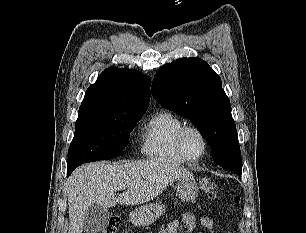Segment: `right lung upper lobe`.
Returning <instances> with one entry per match:
<instances>
[{"instance_id":"cb5924a9","label":"right lung upper lobe","mask_w":306,"mask_h":233,"mask_svg":"<svg viewBox=\"0 0 306 233\" xmlns=\"http://www.w3.org/2000/svg\"><path fill=\"white\" fill-rule=\"evenodd\" d=\"M149 100V77L136 70L111 67L87 89L80 109L145 113Z\"/></svg>"}]
</instances>
